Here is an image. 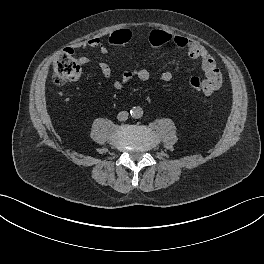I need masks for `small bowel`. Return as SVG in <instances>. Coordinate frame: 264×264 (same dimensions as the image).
<instances>
[{
    "instance_id": "1",
    "label": "small bowel",
    "mask_w": 264,
    "mask_h": 264,
    "mask_svg": "<svg viewBox=\"0 0 264 264\" xmlns=\"http://www.w3.org/2000/svg\"><path fill=\"white\" fill-rule=\"evenodd\" d=\"M129 31L132 38V32L131 30ZM170 35V42H172L177 48L186 50L188 56L191 59L200 61L201 68L205 75L204 81L208 85L207 90L204 93L210 95L217 91L222 84V75L210 52L194 39L178 34ZM74 47L81 49H97L102 55H107L109 52L108 47L99 36L77 42L74 44ZM79 62L82 65H86L89 62V58L87 56H81L79 57ZM98 67L104 77L109 78L111 76L112 69L109 64H107L106 62H100ZM150 77L151 73L146 68H135L132 70L122 71L119 78L114 81L113 86L116 90H121L133 80L147 81L150 79ZM172 77L173 74L170 71H163L160 75V79L164 82L171 81Z\"/></svg>"
}]
</instances>
